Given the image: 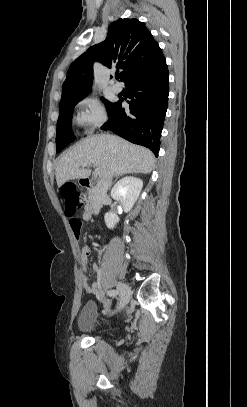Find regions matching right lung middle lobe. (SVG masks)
<instances>
[{
	"mask_svg": "<svg viewBox=\"0 0 247 407\" xmlns=\"http://www.w3.org/2000/svg\"><path fill=\"white\" fill-rule=\"evenodd\" d=\"M80 100L81 99H77L60 104V112L57 121V133H56L57 152H60L64 147H66L69 143H71L75 139L71 131L72 114L75 105ZM103 102L105 103L107 112L109 113L112 110L115 103H110L105 99H103Z\"/></svg>",
	"mask_w": 247,
	"mask_h": 407,
	"instance_id": "1",
	"label": "right lung middle lobe"
}]
</instances>
